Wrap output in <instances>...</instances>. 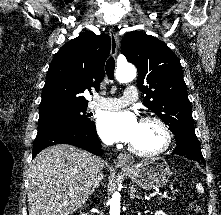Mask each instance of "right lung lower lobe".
<instances>
[{"mask_svg":"<svg viewBox=\"0 0 221 215\" xmlns=\"http://www.w3.org/2000/svg\"><path fill=\"white\" fill-rule=\"evenodd\" d=\"M56 144L74 145L95 155L102 153L93 121L84 126L63 125L38 131L32 158L44 148Z\"/></svg>","mask_w":221,"mask_h":215,"instance_id":"98d812e1","label":"right lung lower lobe"}]
</instances>
